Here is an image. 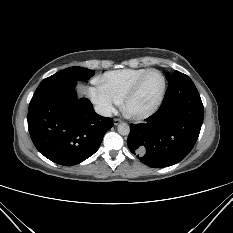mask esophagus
I'll list each match as a JSON object with an SVG mask.
<instances>
[{"label":"esophagus","instance_id":"1","mask_svg":"<svg viewBox=\"0 0 233 233\" xmlns=\"http://www.w3.org/2000/svg\"><path fill=\"white\" fill-rule=\"evenodd\" d=\"M113 122H114V125H118L121 122V120L118 118H115Z\"/></svg>","mask_w":233,"mask_h":233}]
</instances>
